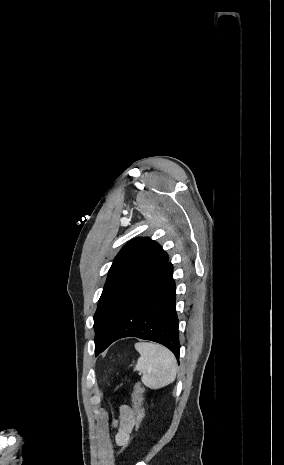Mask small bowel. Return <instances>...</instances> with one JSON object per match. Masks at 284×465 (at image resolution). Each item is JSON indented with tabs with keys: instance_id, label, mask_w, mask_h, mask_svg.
Masks as SVG:
<instances>
[{
	"instance_id": "c3829d8e",
	"label": "small bowel",
	"mask_w": 284,
	"mask_h": 465,
	"mask_svg": "<svg viewBox=\"0 0 284 465\" xmlns=\"http://www.w3.org/2000/svg\"><path fill=\"white\" fill-rule=\"evenodd\" d=\"M119 413V422H113V426L117 428L115 442L118 446H124L128 443L132 430L135 427L136 414L135 411L127 405H122L119 408Z\"/></svg>"
}]
</instances>
